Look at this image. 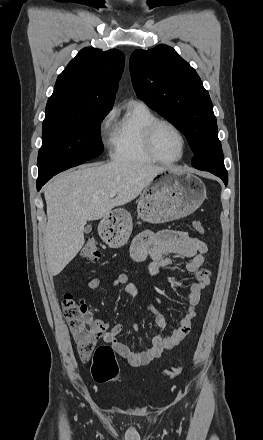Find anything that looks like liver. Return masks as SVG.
<instances>
[{"instance_id":"obj_1","label":"liver","mask_w":263,"mask_h":440,"mask_svg":"<svg viewBox=\"0 0 263 440\" xmlns=\"http://www.w3.org/2000/svg\"><path fill=\"white\" fill-rule=\"evenodd\" d=\"M165 170L148 163L113 161L83 166L48 183L44 249L49 274L58 275L78 254L87 221L105 218L114 207L131 202Z\"/></svg>"}]
</instances>
